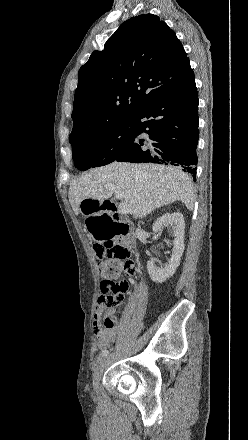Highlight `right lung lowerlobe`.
I'll list each match as a JSON object with an SVG mask.
<instances>
[{
  "label": "right lung lower lobe",
  "mask_w": 248,
  "mask_h": 440,
  "mask_svg": "<svg viewBox=\"0 0 248 440\" xmlns=\"http://www.w3.org/2000/svg\"><path fill=\"white\" fill-rule=\"evenodd\" d=\"M198 95L195 81L143 105L130 119L133 132L117 161L171 164L196 174Z\"/></svg>",
  "instance_id": "obj_1"
}]
</instances>
